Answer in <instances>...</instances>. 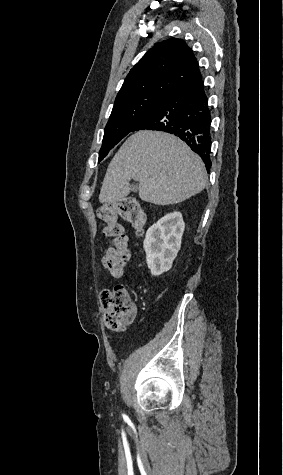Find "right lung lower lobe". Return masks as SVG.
Here are the masks:
<instances>
[{"instance_id":"1","label":"right lung lower lobe","mask_w":283,"mask_h":475,"mask_svg":"<svg viewBox=\"0 0 283 475\" xmlns=\"http://www.w3.org/2000/svg\"><path fill=\"white\" fill-rule=\"evenodd\" d=\"M211 110L202 77L175 89L132 129L164 131L185 141L211 167Z\"/></svg>"}]
</instances>
